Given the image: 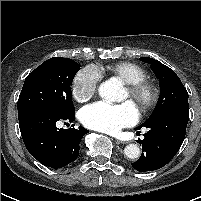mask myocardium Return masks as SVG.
<instances>
[{
	"instance_id": "obj_1",
	"label": "myocardium",
	"mask_w": 201,
	"mask_h": 201,
	"mask_svg": "<svg viewBox=\"0 0 201 201\" xmlns=\"http://www.w3.org/2000/svg\"><path fill=\"white\" fill-rule=\"evenodd\" d=\"M129 98L135 103L141 114L150 111L158 99V90L156 86L144 79L126 84Z\"/></svg>"
}]
</instances>
